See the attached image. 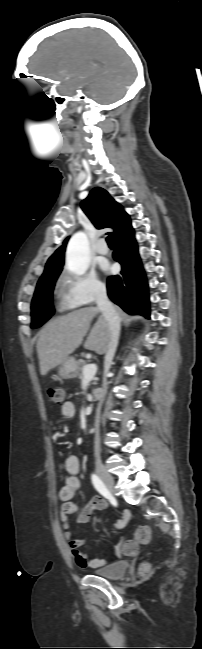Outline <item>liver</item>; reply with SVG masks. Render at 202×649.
I'll list each match as a JSON object with an SVG mask.
<instances>
[{
    "instance_id": "obj_1",
    "label": "liver",
    "mask_w": 202,
    "mask_h": 649,
    "mask_svg": "<svg viewBox=\"0 0 202 649\" xmlns=\"http://www.w3.org/2000/svg\"><path fill=\"white\" fill-rule=\"evenodd\" d=\"M116 309L123 319L124 312L120 308ZM99 312L95 307L82 308L58 316L44 326L39 332L36 346L41 375H46L49 370L61 364L82 344L91 321ZM109 340V324L102 314L91 329L84 347L102 355L107 351Z\"/></svg>"
}]
</instances>
